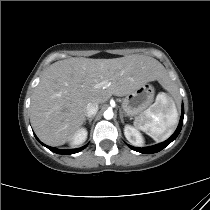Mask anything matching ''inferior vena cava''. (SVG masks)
Masks as SVG:
<instances>
[{"label": "inferior vena cava", "instance_id": "602c4592", "mask_svg": "<svg viewBox=\"0 0 210 210\" xmlns=\"http://www.w3.org/2000/svg\"><path fill=\"white\" fill-rule=\"evenodd\" d=\"M98 109L99 107L97 103L89 102L86 106V116L87 117L94 116L97 113Z\"/></svg>", "mask_w": 210, "mask_h": 210}]
</instances>
